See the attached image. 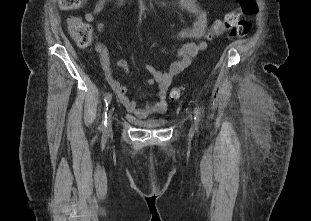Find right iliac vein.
<instances>
[{
    "mask_svg": "<svg viewBox=\"0 0 311 221\" xmlns=\"http://www.w3.org/2000/svg\"><path fill=\"white\" fill-rule=\"evenodd\" d=\"M112 114H113V109H110L109 112H108V121H107L106 131L105 132H109L111 130V128H112V124H111Z\"/></svg>",
    "mask_w": 311,
    "mask_h": 221,
    "instance_id": "right-iliac-vein-1",
    "label": "right iliac vein"
}]
</instances>
